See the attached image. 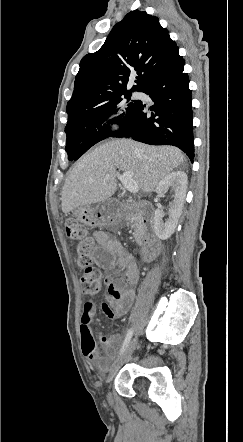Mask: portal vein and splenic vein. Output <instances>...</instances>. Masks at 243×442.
Masks as SVG:
<instances>
[{
	"mask_svg": "<svg viewBox=\"0 0 243 442\" xmlns=\"http://www.w3.org/2000/svg\"><path fill=\"white\" fill-rule=\"evenodd\" d=\"M118 179L122 182L123 186L131 193L138 192V186L135 180L133 179V173L130 171L124 172L122 175L119 172H116Z\"/></svg>",
	"mask_w": 243,
	"mask_h": 442,
	"instance_id": "18ae733b",
	"label": "portal vein and splenic vein"
}]
</instances>
